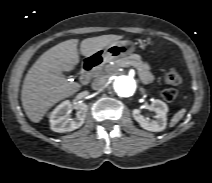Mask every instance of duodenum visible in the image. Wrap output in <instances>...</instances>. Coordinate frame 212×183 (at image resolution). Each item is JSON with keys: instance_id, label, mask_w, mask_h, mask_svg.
Returning <instances> with one entry per match:
<instances>
[{"instance_id": "obj_1", "label": "duodenum", "mask_w": 212, "mask_h": 183, "mask_svg": "<svg viewBox=\"0 0 212 183\" xmlns=\"http://www.w3.org/2000/svg\"><path fill=\"white\" fill-rule=\"evenodd\" d=\"M102 57L98 55H92L87 57L82 65V72H81V81L83 83H87L90 79V76L94 69L101 64Z\"/></svg>"}]
</instances>
